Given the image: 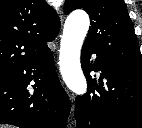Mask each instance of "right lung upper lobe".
Returning a JSON list of instances; mask_svg holds the SVG:
<instances>
[{
    "mask_svg": "<svg viewBox=\"0 0 142 128\" xmlns=\"http://www.w3.org/2000/svg\"><path fill=\"white\" fill-rule=\"evenodd\" d=\"M59 29L45 0H0V78L45 52Z\"/></svg>",
    "mask_w": 142,
    "mask_h": 128,
    "instance_id": "obj_1",
    "label": "right lung upper lobe"
}]
</instances>
